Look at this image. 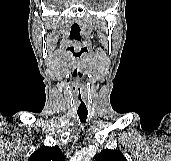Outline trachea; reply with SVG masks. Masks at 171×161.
<instances>
[{
    "label": "trachea",
    "instance_id": "trachea-1",
    "mask_svg": "<svg viewBox=\"0 0 171 161\" xmlns=\"http://www.w3.org/2000/svg\"><path fill=\"white\" fill-rule=\"evenodd\" d=\"M79 119L82 123L86 122L88 112H78Z\"/></svg>",
    "mask_w": 171,
    "mask_h": 161
}]
</instances>
